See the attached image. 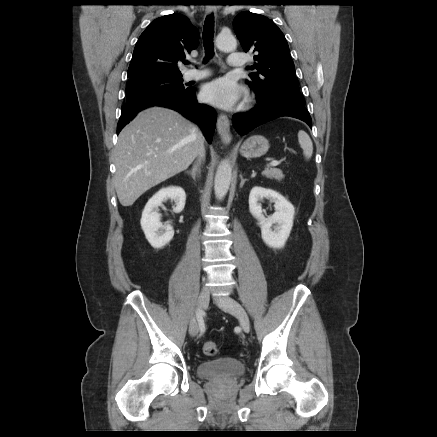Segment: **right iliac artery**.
Here are the masks:
<instances>
[{"instance_id":"1","label":"right iliac artery","mask_w":437,"mask_h":437,"mask_svg":"<svg viewBox=\"0 0 437 437\" xmlns=\"http://www.w3.org/2000/svg\"><path fill=\"white\" fill-rule=\"evenodd\" d=\"M202 315H203L202 311L196 312V318H197L199 326H200V331H201V333H204L205 326H204L203 316Z\"/></svg>"}]
</instances>
